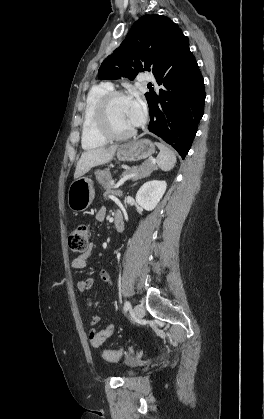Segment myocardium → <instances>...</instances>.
<instances>
[{"instance_id":"myocardium-1","label":"myocardium","mask_w":264,"mask_h":419,"mask_svg":"<svg viewBox=\"0 0 264 419\" xmlns=\"http://www.w3.org/2000/svg\"><path fill=\"white\" fill-rule=\"evenodd\" d=\"M117 98H128V94L121 90H113L106 93L98 102L96 107V126L99 133L107 140H123L135 133V129L118 132L113 128L110 118V106Z\"/></svg>"}]
</instances>
